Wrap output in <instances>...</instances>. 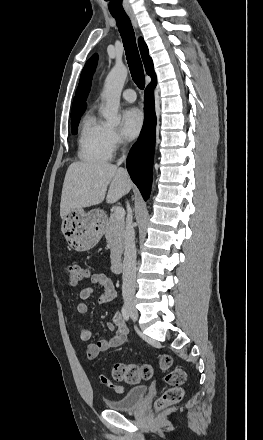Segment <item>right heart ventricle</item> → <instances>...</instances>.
I'll return each mask as SVG.
<instances>
[{
    "label": "right heart ventricle",
    "instance_id": "1",
    "mask_svg": "<svg viewBox=\"0 0 263 440\" xmlns=\"http://www.w3.org/2000/svg\"><path fill=\"white\" fill-rule=\"evenodd\" d=\"M108 126L92 111L82 119L78 137V156L86 162H103L112 156L107 139Z\"/></svg>",
    "mask_w": 263,
    "mask_h": 440
}]
</instances>
